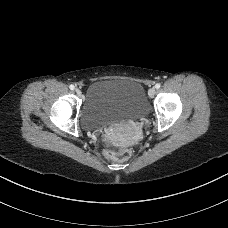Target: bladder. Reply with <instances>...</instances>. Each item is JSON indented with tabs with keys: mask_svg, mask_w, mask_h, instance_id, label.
<instances>
[{
	"mask_svg": "<svg viewBox=\"0 0 228 228\" xmlns=\"http://www.w3.org/2000/svg\"><path fill=\"white\" fill-rule=\"evenodd\" d=\"M148 110L145 90L139 82L99 80L87 88L80 120L85 129L99 130L116 123L142 119Z\"/></svg>",
	"mask_w": 228,
	"mask_h": 228,
	"instance_id": "bladder-1",
	"label": "bladder"
}]
</instances>
